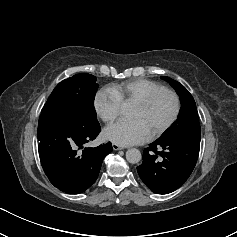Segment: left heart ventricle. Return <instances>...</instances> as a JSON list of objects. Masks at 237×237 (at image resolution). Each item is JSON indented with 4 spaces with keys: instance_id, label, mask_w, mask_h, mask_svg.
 Wrapping results in <instances>:
<instances>
[{
    "instance_id": "b2bd125f",
    "label": "left heart ventricle",
    "mask_w": 237,
    "mask_h": 237,
    "mask_svg": "<svg viewBox=\"0 0 237 237\" xmlns=\"http://www.w3.org/2000/svg\"><path fill=\"white\" fill-rule=\"evenodd\" d=\"M174 106L173 98L168 94H164L147 110H142L134 106L131 113V120L141 121L147 132L151 134L169 120L174 112Z\"/></svg>"
}]
</instances>
